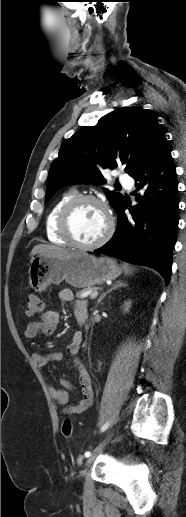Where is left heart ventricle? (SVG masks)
<instances>
[{
  "label": "left heart ventricle",
  "instance_id": "b2bd125f",
  "mask_svg": "<svg viewBox=\"0 0 186 517\" xmlns=\"http://www.w3.org/2000/svg\"><path fill=\"white\" fill-rule=\"evenodd\" d=\"M71 227L74 237L81 243L98 240L107 227V217L102 208L95 203H83L75 211Z\"/></svg>",
  "mask_w": 186,
  "mask_h": 517
}]
</instances>
